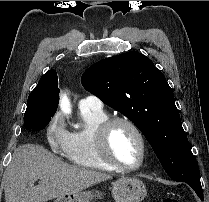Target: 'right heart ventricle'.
<instances>
[{"instance_id": "e07e8e85", "label": "right heart ventricle", "mask_w": 209, "mask_h": 202, "mask_svg": "<svg viewBox=\"0 0 209 202\" xmlns=\"http://www.w3.org/2000/svg\"><path fill=\"white\" fill-rule=\"evenodd\" d=\"M80 114L84 126L80 130L69 133L64 157L82 168L114 170L104 163L95 146L96 130L108 119L107 114L102 109H80Z\"/></svg>"}]
</instances>
